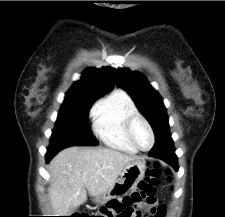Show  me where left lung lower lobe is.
Returning <instances> with one entry per match:
<instances>
[{
  "label": "left lung lower lobe",
  "instance_id": "left-lung-lower-lobe-1",
  "mask_svg": "<svg viewBox=\"0 0 225 217\" xmlns=\"http://www.w3.org/2000/svg\"><path fill=\"white\" fill-rule=\"evenodd\" d=\"M149 156H153L159 159L164 160L165 162L169 163L175 170H178V165H177V157L174 152L171 153H152L149 152Z\"/></svg>",
  "mask_w": 225,
  "mask_h": 217
}]
</instances>
